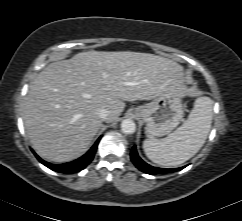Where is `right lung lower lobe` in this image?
<instances>
[{
	"label": "right lung lower lobe",
	"mask_w": 242,
	"mask_h": 221,
	"mask_svg": "<svg viewBox=\"0 0 242 221\" xmlns=\"http://www.w3.org/2000/svg\"><path fill=\"white\" fill-rule=\"evenodd\" d=\"M100 138L95 142V144L91 147V149L82 157L68 163L54 165L49 162L42 160L39 156L35 154L37 159L44 164L46 167L50 168L53 171L60 173H73L83 170L93 159L95 152L97 150L98 143Z\"/></svg>",
	"instance_id": "1"
}]
</instances>
